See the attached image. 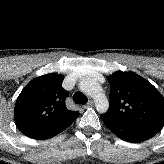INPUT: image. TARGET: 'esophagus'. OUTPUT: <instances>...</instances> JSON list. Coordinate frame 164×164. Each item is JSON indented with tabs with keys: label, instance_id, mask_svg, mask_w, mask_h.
<instances>
[{
	"label": "esophagus",
	"instance_id": "1",
	"mask_svg": "<svg viewBox=\"0 0 164 164\" xmlns=\"http://www.w3.org/2000/svg\"><path fill=\"white\" fill-rule=\"evenodd\" d=\"M94 105V101L90 100L85 106H83L84 108H88V107H92Z\"/></svg>",
	"mask_w": 164,
	"mask_h": 164
}]
</instances>
